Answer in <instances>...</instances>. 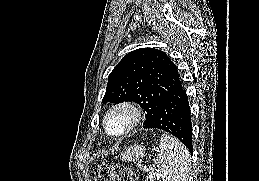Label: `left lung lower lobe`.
I'll list each match as a JSON object with an SVG mask.
<instances>
[{
	"instance_id": "obj_1",
	"label": "left lung lower lobe",
	"mask_w": 259,
	"mask_h": 181,
	"mask_svg": "<svg viewBox=\"0 0 259 181\" xmlns=\"http://www.w3.org/2000/svg\"><path fill=\"white\" fill-rule=\"evenodd\" d=\"M143 128H158L177 137L193 153L190 107L180 80L162 101L155 117Z\"/></svg>"
}]
</instances>
